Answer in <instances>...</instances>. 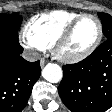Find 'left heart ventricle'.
<instances>
[{
    "label": "left heart ventricle",
    "mask_w": 112,
    "mask_h": 112,
    "mask_svg": "<svg viewBox=\"0 0 112 112\" xmlns=\"http://www.w3.org/2000/svg\"><path fill=\"white\" fill-rule=\"evenodd\" d=\"M98 27L93 18H83L73 29L61 50L65 55H76L90 47L97 36Z\"/></svg>",
    "instance_id": "left-heart-ventricle-1"
}]
</instances>
